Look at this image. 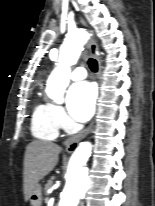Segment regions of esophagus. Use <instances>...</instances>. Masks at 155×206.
<instances>
[{
    "instance_id": "esophagus-1",
    "label": "esophagus",
    "mask_w": 155,
    "mask_h": 206,
    "mask_svg": "<svg viewBox=\"0 0 155 206\" xmlns=\"http://www.w3.org/2000/svg\"><path fill=\"white\" fill-rule=\"evenodd\" d=\"M80 22L84 27L87 26L84 19L80 18ZM87 46L90 52L92 53V55L96 58L98 62V70H99V75H100L102 72V63L99 57L98 45L94 39L90 38L88 40ZM92 128H93V122L90 123L85 129L80 131L78 134L68 138L64 143L65 149L69 152L75 150L78 143L88 135V133L91 131Z\"/></svg>"
}]
</instances>
